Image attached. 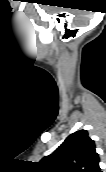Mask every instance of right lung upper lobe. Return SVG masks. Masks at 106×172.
<instances>
[{"label": "right lung upper lobe", "instance_id": "1", "mask_svg": "<svg viewBox=\"0 0 106 172\" xmlns=\"http://www.w3.org/2000/svg\"><path fill=\"white\" fill-rule=\"evenodd\" d=\"M95 143L86 130L69 135L50 155L39 163L43 172H102Z\"/></svg>", "mask_w": 106, "mask_h": 172}]
</instances>
